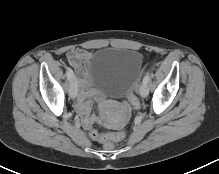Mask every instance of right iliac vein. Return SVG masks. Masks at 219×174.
I'll return each instance as SVG.
<instances>
[{
    "mask_svg": "<svg viewBox=\"0 0 219 174\" xmlns=\"http://www.w3.org/2000/svg\"><path fill=\"white\" fill-rule=\"evenodd\" d=\"M68 92H69V96L72 99H74L76 97V95H77V82L75 79L70 82Z\"/></svg>",
    "mask_w": 219,
    "mask_h": 174,
    "instance_id": "63e3f726",
    "label": "right iliac vein"
}]
</instances>
